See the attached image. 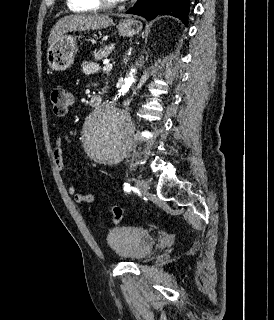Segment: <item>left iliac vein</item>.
I'll use <instances>...</instances> for the list:
<instances>
[{
	"mask_svg": "<svg viewBox=\"0 0 274 320\" xmlns=\"http://www.w3.org/2000/svg\"><path fill=\"white\" fill-rule=\"evenodd\" d=\"M136 187L138 188V190L144 194H146L148 192L149 186L148 183L143 180V179H137L136 182Z\"/></svg>",
	"mask_w": 274,
	"mask_h": 320,
	"instance_id": "left-iliac-vein-1",
	"label": "left iliac vein"
}]
</instances>
